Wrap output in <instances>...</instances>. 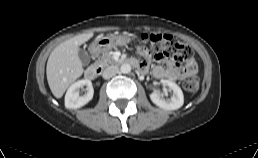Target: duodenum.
Listing matches in <instances>:
<instances>
[{"label": "duodenum", "instance_id": "1", "mask_svg": "<svg viewBox=\"0 0 258 158\" xmlns=\"http://www.w3.org/2000/svg\"><path fill=\"white\" fill-rule=\"evenodd\" d=\"M92 52L94 55H96L99 52V49L95 48V49H93ZM121 63L140 69V63L136 59H133V58H129L124 61H121ZM101 72H102V68L100 66L92 65V66H89L85 70L84 76L88 80H94L101 74Z\"/></svg>", "mask_w": 258, "mask_h": 158}]
</instances>
